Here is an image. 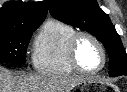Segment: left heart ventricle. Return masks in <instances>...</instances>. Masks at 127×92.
Instances as JSON below:
<instances>
[{"label": "left heart ventricle", "instance_id": "obj_1", "mask_svg": "<svg viewBox=\"0 0 127 92\" xmlns=\"http://www.w3.org/2000/svg\"><path fill=\"white\" fill-rule=\"evenodd\" d=\"M77 59L82 68L96 70L102 64V54L97 45L88 38H82L77 45Z\"/></svg>", "mask_w": 127, "mask_h": 92}]
</instances>
